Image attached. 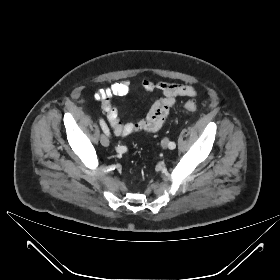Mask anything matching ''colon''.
I'll return each mask as SVG.
<instances>
[{
  "instance_id": "obj_1",
  "label": "colon",
  "mask_w": 280,
  "mask_h": 280,
  "mask_svg": "<svg viewBox=\"0 0 280 280\" xmlns=\"http://www.w3.org/2000/svg\"><path fill=\"white\" fill-rule=\"evenodd\" d=\"M184 107H185V109H186L187 111H191V112L197 110V105H196V103L193 102V101H188V102H186V103L184 104Z\"/></svg>"
}]
</instances>
